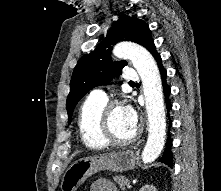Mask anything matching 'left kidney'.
I'll list each match as a JSON object with an SVG mask.
<instances>
[{"mask_svg": "<svg viewBox=\"0 0 221 191\" xmlns=\"http://www.w3.org/2000/svg\"><path fill=\"white\" fill-rule=\"evenodd\" d=\"M139 191H157L153 185H145Z\"/></svg>", "mask_w": 221, "mask_h": 191, "instance_id": "1", "label": "left kidney"}]
</instances>
